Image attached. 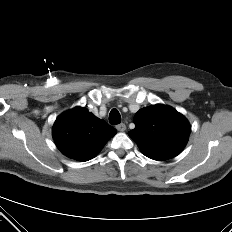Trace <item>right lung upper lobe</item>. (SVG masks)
<instances>
[{
	"mask_svg": "<svg viewBox=\"0 0 232 232\" xmlns=\"http://www.w3.org/2000/svg\"><path fill=\"white\" fill-rule=\"evenodd\" d=\"M116 134V129L85 108L61 114L53 126V138L61 152L78 161L94 158Z\"/></svg>",
	"mask_w": 232,
	"mask_h": 232,
	"instance_id": "obj_1",
	"label": "right lung upper lobe"
}]
</instances>
